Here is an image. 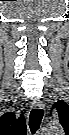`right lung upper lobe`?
I'll use <instances>...</instances> for the list:
<instances>
[{
    "label": "right lung upper lobe",
    "mask_w": 69,
    "mask_h": 135,
    "mask_svg": "<svg viewBox=\"0 0 69 135\" xmlns=\"http://www.w3.org/2000/svg\"><path fill=\"white\" fill-rule=\"evenodd\" d=\"M0 125L2 128H6L10 132L17 133L18 135L26 133L25 119L23 115L16 119L14 113L7 112L0 117Z\"/></svg>",
    "instance_id": "right-lung-upper-lobe-1"
}]
</instances>
